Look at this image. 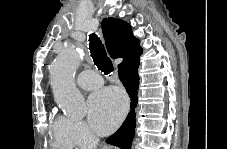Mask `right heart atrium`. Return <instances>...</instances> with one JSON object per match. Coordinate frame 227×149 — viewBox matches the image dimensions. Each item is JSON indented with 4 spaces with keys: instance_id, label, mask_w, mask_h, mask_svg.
Listing matches in <instances>:
<instances>
[{
    "instance_id": "right-heart-atrium-1",
    "label": "right heart atrium",
    "mask_w": 227,
    "mask_h": 149,
    "mask_svg": "<svg viewBox=\"0 0 227 149\" xmlns=\"http://www.w3.org/2000/svg\"><path fill=\"white\" fill-rule=\"evenodd\" d=\"M68 136L77 146H90L95 144V137L88 126L80 120H72L65 118Z\"/></svg>"
}]
</instances>
